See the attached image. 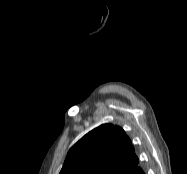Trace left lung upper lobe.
<instances>
[{
    "instance_id": "obj_1",
    "label": "left lung upper lobe",
    "mask_w": 187,
    "mask_h": 174,
    "mask_svg": "<svg viewBox=\"0 0 187 174\" xmlns=\"http://www.w3.org/2000/svg\"><path fill=\"white\" fill-rule=\"evenodd\" d=\"M138 162L124 130L104 124L69 150L59 174H137L142 170Z\"/></svg>"
}]
</instances>
